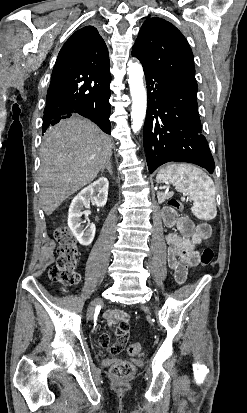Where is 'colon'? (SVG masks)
Segmentation results:
<instances>
[{
    "label": "colon",
    "instance_id": "obj_1",
    "mask_svg": "<svg viewBox=\"0 0 247 413\" xmlns=\"http://www.w3.org/2000/svg\"><path fill=\"white\" fill-rule=\"evenodd\" d=\"M167 202L174 206V210L181 209V203L176 198L168 199ZM55 240L58 243L59 258L49 269L50 280L63 288L72 286L79 279L75 271L79 253L73 234L64 226H58L54 231ZM214 252L210 248H204L199 256L202 269H208L213 262ZM129 353L138 355L141 352L140 343H131L128 347ZM115 381H130L135 373L134 366L128 362H122L112 368Z\"/></svg>",
    "mask_w": 247,
    "mask_h": 413
}]
</instances>
